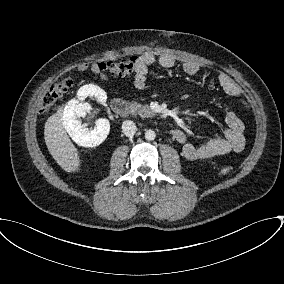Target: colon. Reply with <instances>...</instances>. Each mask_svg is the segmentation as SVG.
Returning <instances> with one entry per match:
<instances>
[{
	"label": "colon",
	"mask_w": 284,
	"mask_h": 284,
	"mask_svg": "<svg viewBox=\"0 0 284 284\" xmlns=\"http://www.w3.org/2000/svg\"><path fill=\"white\" fill-rule=\"evenodd\" d=\"M136 58L121 59L119 61H108L98 63V67L102 71H107L113 76H129L135 71ZM74 81V76L69 75L53 86L45 93L40 110L42 112L50 109L54 103L59 100L66 91L72 86ZM232 168L229 166H224L220 169L222 175H227L231 172Z\"/></svg>",
	"instance_id": "colon-1"
}]
</instances>
